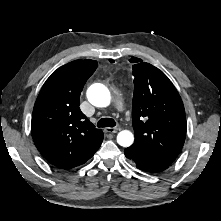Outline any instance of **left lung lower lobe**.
I'll list each match as a JSON object with an SVG mask.
<instances>
[{
  "instance_id": "1",
  "label": "left lung lower lobe",
  "mask_w": 221,
  "mask_h": 221,
  "mask_svg": "<svg viewBox=\"0 0 221 221\" xmlns=\"http://www.w3.org/2000/svg\"><path fill=\"white\" fill-rule=\"evenodd\" d=\"M124 154L129 160L136 164L138 169L149 173H158L166 170L170 166V164L161 159L131 146L124 150Z\"/></svg>"
}]
</instances>
